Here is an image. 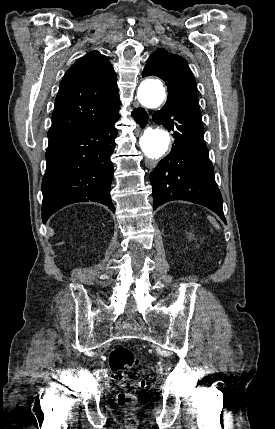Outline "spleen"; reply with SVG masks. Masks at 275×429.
<instances>
[{
    "instance_id": "spleen-1",
    "label": "spleen",
    "mask_w": 275,
    "mask_h": 429,
    "mask_svg": "<svg viewBox=\"0 0 275 429\" xmlns=\"http://www.w3.org/2000/svg\"><path fill=\"white\" fill-rule=\"evenodd\" d=\"M209 221L215 226L217 229H219V224L216 222V220L212 217H208Z\"/></svg>"
}]
</instances>
